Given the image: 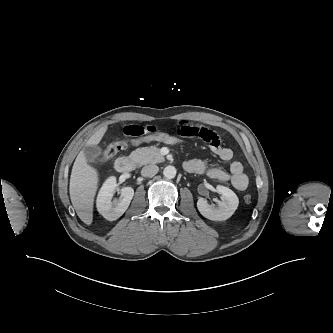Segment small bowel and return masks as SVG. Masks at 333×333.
<instances>
[{"label": "small bowel", "mask_w": 333, "mask_h": 333, "mask_svg": "<svg viewBox=\"0 0 333 333\" xmlns=\"http://www.w3.org/2000/svg\"><path fill=\"white\" fill-rule=\"evenodd\" d=\"M172 131L183 138H200L205 141L211 151L223 161H230L233 157L232 150L224 145L218 134L195 122L179 121L172 126ZM124 132L131 137H141L156 133L157 127L153 125L129 124L124 126ZM187 171L198 174H206L208 177L227 182L232 186L243 191L248 187L249 179L244 172L243 165L239 161H233L229 171L218 167H210L206 161L201 159H191L184 163Z\"/></svg>", "instance_id": "1"}]
</instances>
